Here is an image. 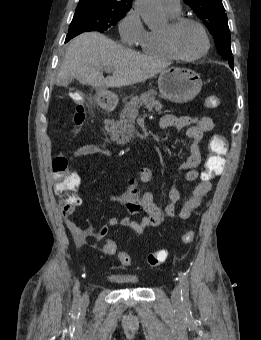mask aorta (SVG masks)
I'll return each mask as SVG.
<instances>
[{"instance_id":"obj_1","label":"aorta","mask_w":261,"mask_h":340,"mask_svg":"<svg viewBox=\"0 0 261 340\" xmlns=\"http://www.w3.org/2000/svg\"><path fill=\"white\" fill-rule=\"evenodd\" d=\"M136 7L148 26L163 24L164 16L161 12L159 0H136Z\"/></svg>"}]
</instances>
